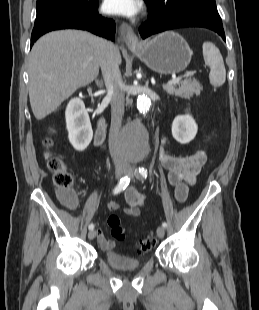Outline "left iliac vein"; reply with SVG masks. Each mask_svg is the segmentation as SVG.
I'll return each mask as SVG.
<instances>
[{
    "label": "left iliac vein",
    "mask_w": 259,
    "mask_h": 310,
    "mask_svg": "<svg viewBox=\"0 0 259 310\" xmlns=\"http://www.w3.org/2000/svg\"><path fill=\"white\" fill-rule=\"evenodd\" d=\"M125 173H126L127 175H129V176H133V174H134V169H133V167L127 166ZM164 235H165V229H164V227L159 226V227L157 228V236H158L159 238H163Z\"/></svg>",
    "instance_id": "obj_1"
}]
</instances>
